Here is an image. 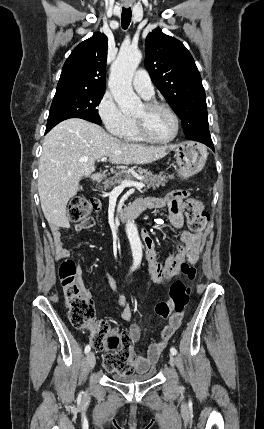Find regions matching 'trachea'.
<instances>
[{
	"instance_id": "3493384b",
	"label": "trachea",
	"mask_w": 264,
	"mask_h": 429,
	"mask_svg": "<svg viewBox=\"0 0 264 429\" xmlns=\"http://www.w3.org/2000/svg\"><path fill=\"white\" fill-rule=\"evenodd\" d=\"M132 12L131 8H123L121 15V24L123 29H127L131 22Z\"/></svg>"
}]
</instances>
